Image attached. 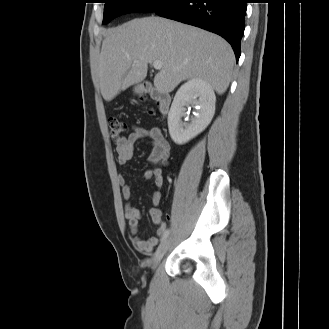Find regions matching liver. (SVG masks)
<instances>
[{
	"label": "liver",
	"instance_id": "liver-1",
	"mask_svg": "<svg viewBox=\"0 0 329 329\" xmlns=\"http://www.w3.org/2000/svg\"><path fill=\"white\" fill-rule=\"evenodd\" d=\"M161 61L155 87L171 92L180 82L201 79L218 94L231 81L234 53L221 37L161 17H144L108 29L99 60L100 90L106 101L142 82L148 64Z\"/></svg>",
	"mask_w": 329,
	"mask_h": 329
}]
</instances>
